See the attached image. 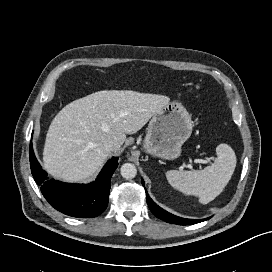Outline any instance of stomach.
Instances as JSON below:
<instances>
[{
    "label": "stomach",
    "instance_id": "obj_1",
    "mask_svg": "<svg viewBox=\"0 0 272 272\" xmlns=\"http://www.w3.org/2000/svg\"><path fill=\"white\" fill-rule=\"evenodd\" d=\"M192 128L193 121L185 107L180 102H169L151 117L144 138V150L154 157L176 159Z\"/></svg>",
    "mask_w": 272,
    "mask_h": 272
}]
</instances>
